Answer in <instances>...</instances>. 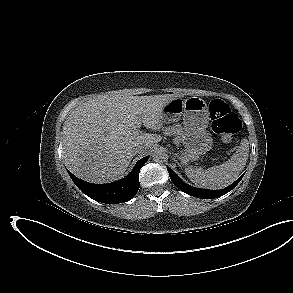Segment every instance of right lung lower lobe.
Returning a JSON list of instances; mask_svg holds the SVG:
<instances>
[{
  "mask_svg": "<svg viewBox=\"0 0 293 293\" xmlns=\"http://www.w3.org/2000/svg\"><path fill=\"white\" fill-rule=\"evenodd\" d=\"M148 159V156L140 159L125 178L109 184L89 183L78 179L70 171L68 173L76 186L90 198L108 204L123 203L132 199L138 192L139 172Z\"/></svg>",
  "mask_w": 293,
  "mask_h": 293,
  "instance_id": "obj_1",
  "label": "right lung lower lobe"
}]
</instances>
